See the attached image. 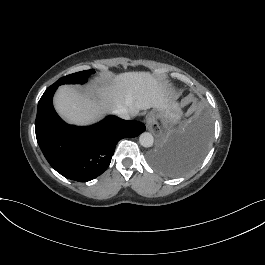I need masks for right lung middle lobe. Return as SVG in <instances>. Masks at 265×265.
Returning a JSON list of instances; mask_svg holds the SVG:
<instances>
[{
  "label": "right lung middle lobe",
  "mask_w": 265,
  "mask_h": 265,
  "mask_svg": "<svg viewBox=\"0 0 265 265\" xmlns=\"http://www.w3.org/2000/svg\"><path fill=\"white\" fill-rule=\"evenodd\" d=\"M94 72H95L94 70L77 72L60 78L54 84H56L57 86L62 84H83L87 81L89 75L93 74Z\"/></svg>",
  "instance_id": "1"
}]
</instances>
